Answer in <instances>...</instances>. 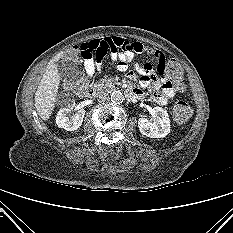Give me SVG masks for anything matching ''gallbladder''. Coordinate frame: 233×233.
Instances as JSON below:
<instances>
[{"label": "gallbladder", "mask_w": 233, "mask_h": 233, "mask_svg": "<svg viewBox=\"0 0 233 233\" xmlns=\"http://www.w3.org/2000/svg\"><path fill=\"white\" fill-rule=\"evenodd\" d=\"M56 65L62 79L74 80L78 78L79 69L74 62L62 59Z\"/></svg>", "instance_id": "gallbladder-1"}]
</instances>
